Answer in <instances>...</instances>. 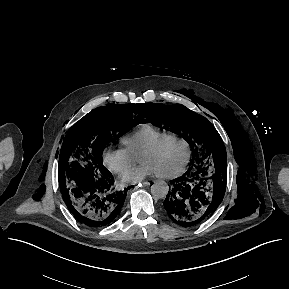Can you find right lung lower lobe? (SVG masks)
I'll use <instances>...</instances> for the list:
<instances>
[{
    "instance_id": "obj_1",
    "label": "right lung lower lobe",
    "mask_w": 289,
    "mask_h": 289,
    "mask_svg": "<svg viewBox=\"0 0 289 289\" xmlns=\"http://www.w3.org/2000/svg\"><path fill=\"white\" fill-rule=\"evenodd\" d=\"M115 188L110 172L87 185H79L69 193H63V200L80 223L101 228L113 223L119 216L127 193Z\"/></svg>"
}]
</instances>
